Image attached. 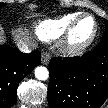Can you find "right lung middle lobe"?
I'll return each mask as SVG.
<instances>
[{
  "mask_svg": "<svg viewBox=\"0 0 108 108\" xmlns=\"http://www.w3.org/2000/svg\"><path fill=\"white\" fill-rule=\"evenodd\" d=\"M5 4L4 3H0V7L4 6Z\"/></svg>",
  "mask_w": 108,
  "mask_h": 108,
  "instance_id": "1",
  "label": "right lung middle lobe"
}]
</instances>
